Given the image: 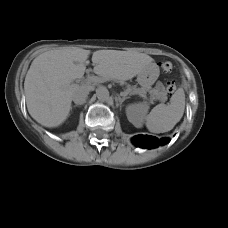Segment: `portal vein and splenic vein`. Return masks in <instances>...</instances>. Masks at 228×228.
<instances>
[{
  "mask_svg": "<svg viewBox=\"0 0 228 228\" xmlns=\"http://www.w3.org/2000/svg\"><path fill=\"white\" fill-rule=\"evenodd\" d=\"M94 80H96V78L90 77L86 81L90 82V81H94ZM141 96L146 97V95H144V94H142Z\"/></svg>",
  "mask_w": 228,
  "mask_h": 228,
  "instance_id": "portal-vein-and-splenic-vein-1",
  "label": "portal vein and splenic vein"
}]
</instances>
